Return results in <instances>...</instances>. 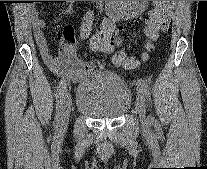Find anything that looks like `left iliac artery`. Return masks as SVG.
Listing matches in <instances>:
<instances>
[{"label": "left iliac artery", "instance_id": "44dca946", "mask_svg": "<svg viewBox=\"0 0 207 169\" xmlns=\"http://www.w3.org/2000/svg\"><path fill=\"white\" fill-rule=\"evenodd\" d=\"M133 37L137 38L138 36L134 35ZM133 41L135 42L136 40L134 39ZM131 45L133 46L134 44L132 43ZM132 49L134 50L135 48L133 47ZM137 86L139 88V91L142 92L147 99H150V94L151 93H150V89H149L148 83L144 79H139L137 81ZM150 120L152 122H154V118L150 117Z\"/></svg>", "mask_w": 207, "mask_h": 169}]
</instances>
